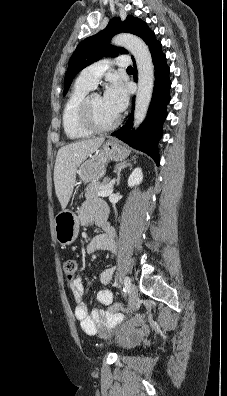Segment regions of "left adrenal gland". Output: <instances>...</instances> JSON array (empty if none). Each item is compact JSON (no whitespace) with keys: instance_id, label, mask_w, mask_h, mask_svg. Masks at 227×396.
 <instances>
[{"instance_id":"a2214340","label":"left adrenal gland","mask_w":227,"mask_h":396,"mask_svg":"<svg viewBox=\"0 0 227 396\" xmlns=\"http://www.w3.org/2000/svg\"><path fill=\"white\" fill-rule=\"evenodd\" d=\"M128 166L131 167L132 165H131V163H129L127 161H124V162L116 165V167H115V171L117 173L116 186H119V184H120V178H121L122 169H124V168H126Z\"/></svg>"}]
</instances>
